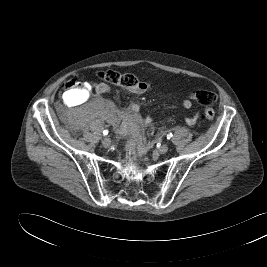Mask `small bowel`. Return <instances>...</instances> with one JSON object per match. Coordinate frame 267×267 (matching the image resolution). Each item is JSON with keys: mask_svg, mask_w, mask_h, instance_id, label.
I'll return each mask as SVG.
<instances>
[{"mask_svg": "<svg viewBox=\"0 0 267 267\" xmlns=\"http://www.w3.org/2000/svg\"><path fill=\"white\" fill-rule=\"evenodd\" d=\"M150 88L151 85L149 83H144L142 86L128 89V91L133 94H143ZM95 91L98 95H106L110 93L111 89L106 83L100 82L96 84ZM181 106L189 110L192 108V102L189 99H185L181 102ZM109 119L114 125L120 123L127 124L134 135L142 126L151 125L153 123V118L151 116L145 118L140 116V106L138 104H131L127 111H114ZM186 122L191 125L195 124L196 118H186Z\"/></svg>", "mask_w": 267, "mask_h": 267, "instance_id": "c3829d8e", "label": "small bowel"}]
</instances>
